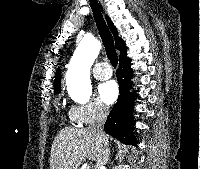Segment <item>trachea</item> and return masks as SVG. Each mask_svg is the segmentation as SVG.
<instances>
[{"instance_id": "1", "label": "trachea", "mask_w": 200, "mask_h": 169, "mask_svg": "<svg viewBox=\"0 0 200 169\" xmlns=\"http://www.w3.org/2000/svg\"><path fill=\"white\" fill-rule=\"evenodd\" d=\"M90 6L92 8L97 29L103 41L107 57L110 60L111 64L116 68L117 63H118V56H117V52L114 46V40H113L112 34L110 33L105 23V20L101 14L98 2L96 0H91Z\"/></svg>"}]
</instances>
